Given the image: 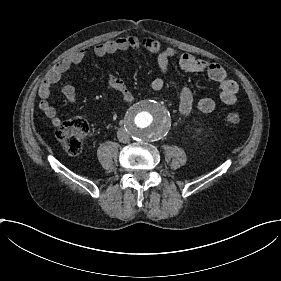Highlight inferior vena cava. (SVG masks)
<instances>
[{
  "instance_id": "602c4592",
  "label": "inferior vena cava",
  "mask_w": 281,
  "mask_h": 281,
  "mask_svg": "<svg viewBox=\"0 0 281 281\" xmlns=\"http://www.w3.org/2000/svg\"><path fill=\"white\" fill-rule=\"evenodd\" d=\"M117 137H118V140L121 143H129L130 142V136L128 135V133L126 132V130L124 128H120L117 131Z\"/></svg>"
}]
</instances>
